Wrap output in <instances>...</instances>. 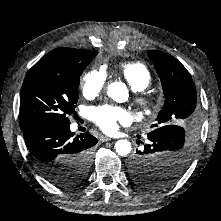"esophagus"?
Returning <instances> with one entry per match:
<instances>
[{
  "instance_id": "34e87169",
  "label": "esophagus",
  "mask_w": 221,
  "mask_h": 221,
  "mask_svg": "<svg viewBox=\"0 0 221 221\" xmlns=\"http://www.w3.org/2000/svg\"><path fill=\"white\" fill-rule=\"evenodd\" d=\"M111 140H112L111 138L106 137V136H101V137H100V141H101V142H108V141H111Z\"/></svg>"
}]
</instances>
